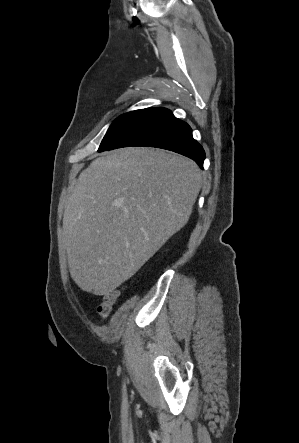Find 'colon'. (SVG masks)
Listing matches in <instances>:
<instances>
[{"mask_svg": "<svg viewBox=\"0 0 299 443\" xmlns=\"http://www.w3.org/2000/svg\"><path fill=\"white\" fill-rule=\"evenodd\" d=\"M120 292V290H115L104 296L102 302L98 306V312L102 317L106 318L110 315L114 305L117 302Z\"/></svg>", "mask_w": 299, "mask_h": 443, "instance_id": "5ec220e1", "label": "colon"}]
</instances>
